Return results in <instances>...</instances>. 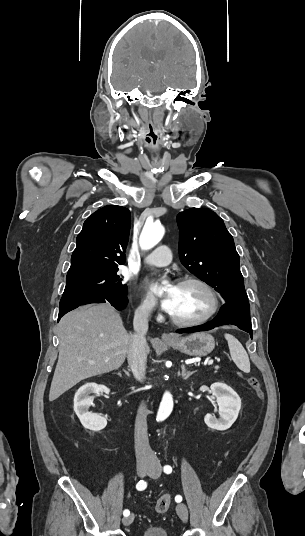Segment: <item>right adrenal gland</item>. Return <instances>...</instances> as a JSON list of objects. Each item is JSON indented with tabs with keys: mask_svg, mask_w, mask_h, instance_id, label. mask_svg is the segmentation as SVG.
I'll list each match as a JSON object with an SVG mask.
<instances>
[{
	"mask_svg": "<svg viewBox=\"0 0 305 536\" xmlns=\"http://www.w3.org/2000/svg\"><path fill=\"white\" fill-rule=\"evenodd\" d=\"M125 374H127V376H130L129 372H126V370H124Z\"/></svg>",
	"mask_w": 305,
	"mask_h": 536,
	"instance_id": "right-adrenal-gland-1",
	"label": "right adrenal gland"
}]
</instances>
